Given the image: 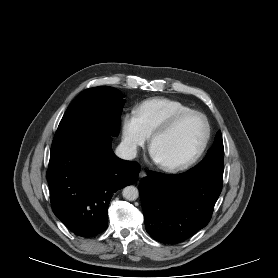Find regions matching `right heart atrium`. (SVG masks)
<instances>
[{
  "instance_id": "right-heart-atrium-1",
  "label": "right heart atrium",
  "mask_w": 278,
  "mask_h": 278,
  "mask_svg": "<svg viewBox=\"0 0 278 278\" xmlns=\"http://www.w3.org/2000/svg\"><path fill=\"white\" fill-rule=\"evenodd\" d=\"M149 136L135 111L123 114L121 118V139L127 153L135 155L146 144Z\"/></svg>"
}]
</instances>
